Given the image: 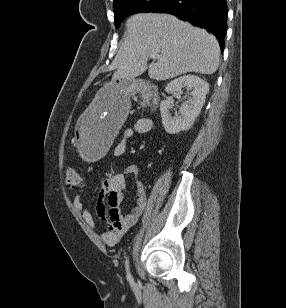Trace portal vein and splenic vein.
Instances as JSON below:
<instances>
[{
    "label": "portal vein and splenic vein",
    "mask_w": 286,
    "mask_h": 308,
    "mask_svg": "<svg viewBox=\"0 0 286 308\" xmlns=\"http://www.w3.org/2000/svg\"><path fill=\"white\" fill-rule=\"evenodd\" d=\"M150 57L153 59H162V57L159 55V51L158 50H153L150 53Z\"/></svg>",
    "instance_id": "portal-vein-and-splenic-vein-1"
}]
</instances>
